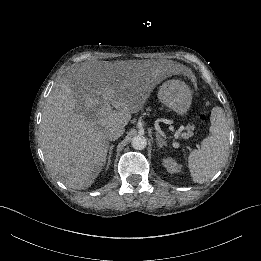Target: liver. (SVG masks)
Wrapping results in <instances>:
<instances>
[{
  "instance_id": "liver-1",
  "label": "liver",
  "mask_w": 261,
  "mask_h": 261,
  "mask_svg": "<svg viewBox=\"0 0 261 261\" xmlns=\"http://www.w3.org/2000/svg\"><path fill=\"white\" fill-rule=\"evenodd\" d=\"M162 67L106 62L69 69L47 97L40 123L39 139L50 173L72 189L89 188L107 161V133L125 128L132 114L145 106L163 80Z\"/></svg>"
}]
</instances>
